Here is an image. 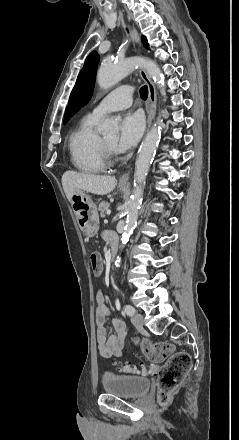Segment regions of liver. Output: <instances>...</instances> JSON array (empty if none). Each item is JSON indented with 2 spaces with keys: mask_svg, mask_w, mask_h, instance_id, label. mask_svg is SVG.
Here are the masks:
<instances>
[{
  "mask_svg": "<svg viewBox=\"0 0 239 440\" xmlns=\"http://www.w3.org/2000/svg\"><path fill=\"white\" fill-rule=\"evenodd\" d=\"M62 186L67 200L72 202V196L78 190L105 196L113 192L117 186L115 176H94V174H79V172H65L62 176Z\"/></svg>",
  "mask_w": 239,
  "mask_h": 440,
  "instance_id": "1",
  "label": "liver"
}]
</instances>
